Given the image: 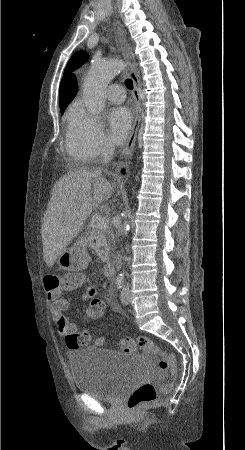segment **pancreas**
I'll return each mask as SVG.
<instances>
[{"mask_svg": "<svg viewBox=\"0 0 245 450\" xmlns=\"http://www.w3.org/2000/svg\"><path fill=\"white\" fill-rule=\"evenodd\" d=\"M89 246L94 249L103 262L109 261V253L112 249L113 234L109 229H99L93 226L88 232Z\"/></svg>", "mask_w": 245, "mask_h": 450, "instance_id": "cf45deb5", "label": "pancreas"}]
</instances>
